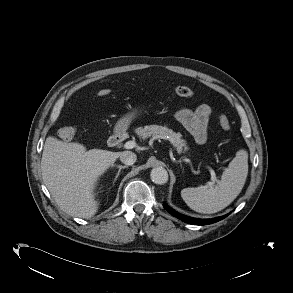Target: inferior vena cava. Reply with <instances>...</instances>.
I'll return each instance as SVG.
<instances>
[{
  "label": "inferior vena cava",
  "instance_id": "1",
  "mask_svg": "<svg viewBox=\"0 0 293 293\" xmlns=\"http://www.w3.org/2000/svg\"><path fill=\"white\" fill-rule=\"evenodd\" d=\"M137 156L132 151H124L120 154V160L125 165H133L136 162Z\"/></svg>",
  "mask_w": 293,
  "mask_h": 293
}]
</instances>
